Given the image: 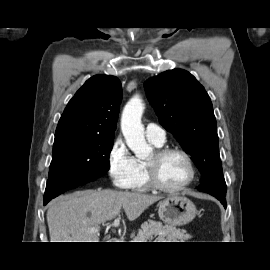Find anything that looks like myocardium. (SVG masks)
<instances>
[{"label":"myocardium","instance_id":"f54148a6","mask_svg":"<svg viewBox=\"0 0 270 270\" xmlns=\"http://www.w3.org/2000/svg\"><path fill=\"white\" fill-rule=\"evenodd\" d=\"M171 153H177L181 155L185 159L188 169H189V176L187 180L183 182L182 184L175 187H168V186L163 185L159 181L157 177V172H156L157 160ZM153 154H154L153 159L147 160L145 162L146 176H147V181L150 187L164 193H177L186 189L188 186L192 184L196 176V169H195V165L190 154L186 150L180 147H159L154 151Z\"/></svg>","mask_w":270,"mask_h":270}]
</instances>
